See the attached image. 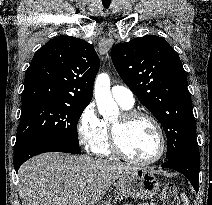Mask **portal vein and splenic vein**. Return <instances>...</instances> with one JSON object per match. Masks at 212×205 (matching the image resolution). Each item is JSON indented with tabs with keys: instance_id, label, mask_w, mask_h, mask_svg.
<instances>
[{
	"instance_id": "18ae733b",
	"label": "portal vein and splenic vein",
	"mask_w": 212,
	"mask_h": 205,
	"mask_svg": "<svg viewBox=\"0 0 212 205\" xmlns=\"http://www.w3.org/2000/svg\"><path fill=\"white\" fill-rule=\"evenodd\" d=\"M85 185H86V183H82V184L80 185V189L83 190V189L85 188Z\"/></svg>"
}]
</instances>
